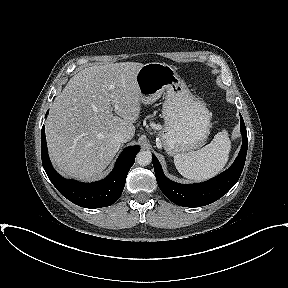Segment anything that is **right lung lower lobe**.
Here are the masks:
<instances>
[{"label": "right lung lower lobe", "instance_id": "obj_1", "mask_svg": "<svg viewBox=\"0 0 288 288\" xmlns=\"http://www.w3.org/2000/svg\"><path fill=\"white\" fill-rule=\"evenodd\" d=\"M48 112L46 113L47 117ZM140 146H130L123 150L111 174L94 183L66 180L52 167L47 151L45 129L41 132V157L44 170L56 189L69 201L85 208H100L112 205L121 195L127 174L134 164Z\"/></svg>", "mask_w": 288, "mask_h": 288}]
</instances>
